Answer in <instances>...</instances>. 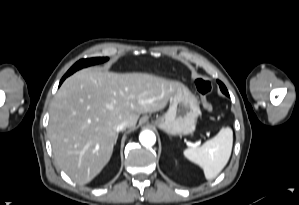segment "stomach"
I'll return each mask as SVG.
<instances>
[{
  "instance_id": "stomach-1",
  "label": "stomach",
  "mask_w": 299,
  "mask_h": 205,
  "mask_svg": "<svg viewBox=\"0 0 299 205\" xmlns=\"http://www.w3.org/2000/svg\"><path fill=\"white\" fill-rule=\"evenodd\" d=\"M199 114L197 98L188 88L181 85L172 94L167 112L155 123L168 135H188L195 131Z\"/></svg>"
}]
</instances>
